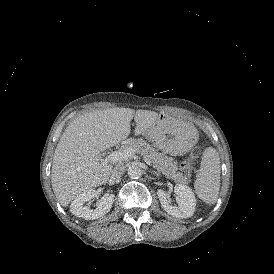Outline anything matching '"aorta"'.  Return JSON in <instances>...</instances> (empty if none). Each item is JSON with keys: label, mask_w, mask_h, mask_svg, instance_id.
<instances>
[{"label": "aorta", "mask_w": 274, "mask_h": 274, "mask_svg": "<svg viewBox=\"0 0 274 274\" xmlns=\"http://www.w3.org/2000/svg\"><path fill=\"white\" fill-rule=\"evenodd\" d=\"M128 175L132 179H138L142 175V170L137 165H132L128 168Z\"/></svg>", "instance_id": "1"}]
</instances>
